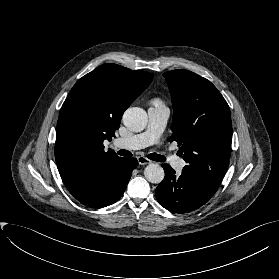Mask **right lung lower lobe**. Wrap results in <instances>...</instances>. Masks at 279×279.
Returning <instances> with one entry per match:
<instances>
[{"instance_id": "1", "label": "right lung lower lobe", "mask_w": 279, "mask_h": 279, "mask_svg": "<svg viewBox=\"0 0 279 279\" xmlns=\"http://www.w3.org/2000/svg\"><path fill=\"white\" fill-rule=\"evenodd\" d=\"M136 158H120L113 166L81 180L69 192L81 203L91 208H101L115 203L124 193Z\"/></svg>"}]
</instances>
